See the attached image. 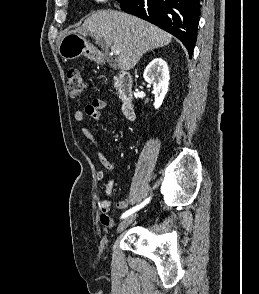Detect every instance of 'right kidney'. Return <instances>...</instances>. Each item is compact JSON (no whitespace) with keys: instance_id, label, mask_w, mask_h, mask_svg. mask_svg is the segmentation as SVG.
<instances>
[{"instance_id":"obj_1","label":"right kidney","mask_w":259,"mask_h":294,"mask_svg":"<svg viewBox=\"0 0 259 294\" xmlns=\"http://www.w3.org/2000/svg\"><path fill=\"white\" fill-rule=\"evenodd\" d=\"M143 76L145 81L153 86L154 107L158 109L168 91L170 79L168 65L162 58H155L146 67Z\"/></svg>"}]
</instances>
